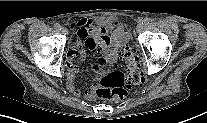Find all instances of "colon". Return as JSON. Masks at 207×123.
I'll return each mask as SVG.
<instances>
[{
    "instance_id": "5ec220e1",
    "label": "colon",
    "mask_w": 207,
    "mask_h": 123,
    "mask_svg": "<svg viewBox=\"0 0 207 123\" xmlns=\"http://www.w3.org/2000/svg\"><path fill=\"white\" fill-rule=\"evenodd\" d=\"M103 66L106 73L100 78L96 90L98 98L102 100H123L129 88L143 83V73L128 46L124 47L118 62L107 61Z\"/></svg>"
}]
</instances>
